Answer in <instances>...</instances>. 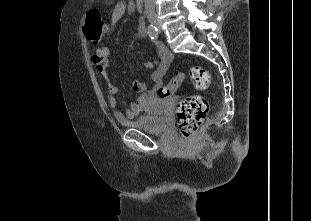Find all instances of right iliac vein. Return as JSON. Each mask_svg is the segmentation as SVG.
I'll list each match as a JSON object with an SVG mask.
<instances>
[{
  "mask_svg": "<svg viewBox=\"0 0 311 221\" xmlns=\"http://www.w3.org/2000/svg\"><path fill=\"white\" fill-rule=\"evenodd\" d=\"M154 25H156V26H157V25H158V23H157V22H154Z\"/></svg>",
  "mask_w": 311,
  "mask_h": 221,
  "instance_id": "1",
  "label": "right iliac vein"
}]
</instances>
